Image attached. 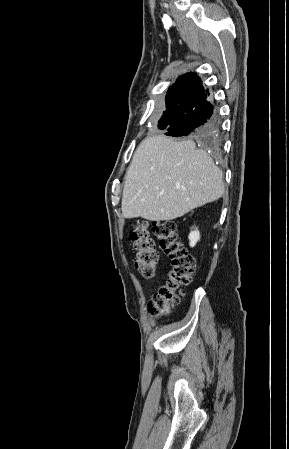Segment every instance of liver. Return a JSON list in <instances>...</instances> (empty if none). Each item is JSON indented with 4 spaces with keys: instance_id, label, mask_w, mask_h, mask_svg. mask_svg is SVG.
Here are the masks:
<instances>
[{
    "instance_id": "1",
    "label": "liver",
    "mask_w": 289,
    "mask_h": 449,
    "mask_svg": "<svg viewBox=\"0 0 289 449\" xmlns=\"http://www.w3.org/2000/svg\"><path fill=\"white\" fill-rule=\"evenodd\" d=\"M223 194V173L206 151L192 140L153 136L141 142L127 170L122 215L169 221Z\"/></svg>"
}]
</instances>
